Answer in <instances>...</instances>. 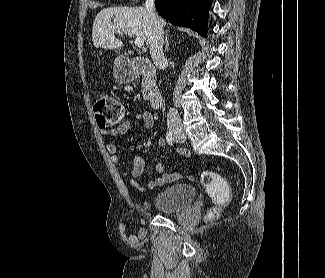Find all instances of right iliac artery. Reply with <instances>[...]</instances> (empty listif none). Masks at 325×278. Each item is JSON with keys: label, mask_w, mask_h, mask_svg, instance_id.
<instances>
[{"label": "right iliac artery", "mask_w": 325, "mask_h": 278, "mask_svg": "<svg viewBox=\"0 0 325 278\" xmlns=\"http://www.w3.org/2000/svg\"><path fill=\"white\" fill-rule=\"evenodd\" d=\"M166 140H167V142H168L169 145L173 146V144H174V138H173V134H172L171 131L167 132Z\"/></svg>", "instance_id": "obj_1"}]
</instances>
